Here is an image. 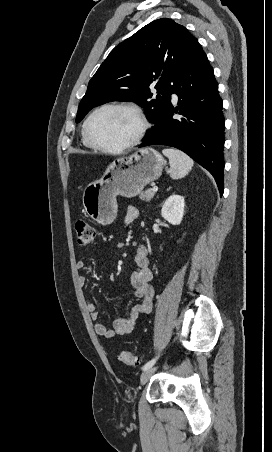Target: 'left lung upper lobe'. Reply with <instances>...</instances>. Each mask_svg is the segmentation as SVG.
<instances>
[{
  "label": "left lung upper lobe",
  "mask_w": 272,
  "mask_h": 452,
  "mask_svg": "<svg viewBox=\"0 0 272 452\" xmlns=\"http://www.w3.org/2000/svg\"><path fill=\"white\" fill-rule=\"evenodd\" d=\"M197 39L171 19L155 20L117 45L88 84L76 117L80 122L94 107L110 101H133L155 122L170 102L173 83ZM155 85L158 95L149 86Z\"/></svg>",
  "instance_id": "left-lung-upper-lobe-1"
}]
</instances>
